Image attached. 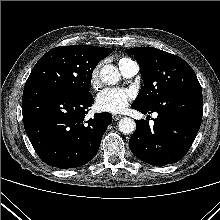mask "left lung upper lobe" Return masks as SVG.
<instances>
[{"label":"left lung upper lobe","mask_w":220,"mask_h":220,"mask_svg":"<svg viewBox=\"0 0 220 220\" xmlns=\"http://www.w3.org/2000/svg\"><path fill=\"white\" fill-rule=\"evenodd\" d=\"M128 51L137 60L144 81L132 105L153 108L184 91L201 90L195 72L181 57L153 47H135Z\"/></svg>","instance_id":"1"}]
</instances>
